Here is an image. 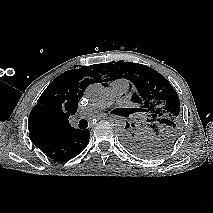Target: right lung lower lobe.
Segmentation results:
<instances>
[{"label": "right lung lower lobe", "mask_w": 213, "mask_h": 213, "mask_svg": "<svg viewBox=\"0 0 213 213\" xmlns=\"http://www.w3.org/2000/svg\"><path fill=\"white\" fill-rule=\"evenodd\" d=\"M91 130V129H90ZM90 131L76 129L70 136L55 142L40 141L34 145L55 161H68L81 153L88 144Z\"/></svg>", "instance_id": "98d812e1"}]
</instances>
